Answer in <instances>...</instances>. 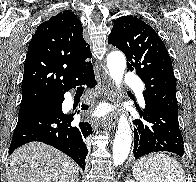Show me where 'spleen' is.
<instances>
[{
  "instance_id": "1",
  "label": "spleen",
  "mask_w": 196,
  "mask_h": 182,
  "mask_svg": "<svg viewBox=\"0 0 196 182\" xmlns=\"http://www.w3.org/2000/svg\"><path fill=\"white\" fill-rule=\"evenodd\" d=\"M132 173L140 182H186L182 165L165 153H155L137 160Z\"/></svg>"
}]
</instances>
